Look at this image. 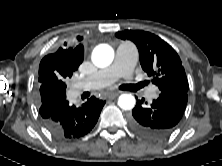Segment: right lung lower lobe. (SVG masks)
Wrapping results in <instances>:
<instances>
[{"label": "right lung lower lobe", "mask_w": 222, "mask_h": 166, "mask_svg": "<svg viewBox=\"0 0 222 166\" xmlns=\"http://www.w3.org/2000/svg\"><path fill=\"white\" fill-rule=\"evenodd\" d=\"M39 112L44 126L57 139H76L95 126L105 101L91 97L81 106L70 105L66 89L53 83L39 84Z\"/></svg>", "instance_id": "1"}]
</instances>
